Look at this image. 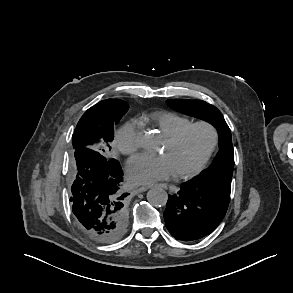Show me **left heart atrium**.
I'll return each mask as SVG.
<instances>
[{
	"mask_svg": "<svg viewBox=\"0 0 293 293\" xmlns=\"http://www.w3.org/2000/svg\"><path fill=\"white\" fill-rule=\"evenodd\" d=\"M175 169L167 155L139 154L127 163L128 179L135 184H153L171 178Z\"/></svg>",
	"mask_w": 293,
	"mask_h": 293,
	"instance_id": "1",
	"label": "left heart atrium"
}]
</instances>
